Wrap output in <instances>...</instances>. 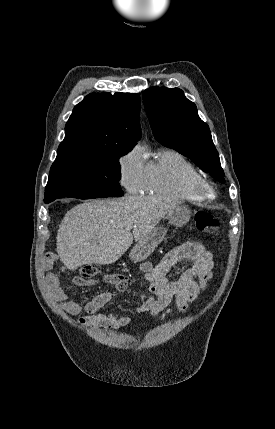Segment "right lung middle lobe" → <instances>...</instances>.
Here are the masks:
<instances>
[{
    "label": "right lung middle lobe",
    "instance_id": "1",
    "mask_svg": "<svg viewBox=\"0 0 275 429\" xmlns=\"http://www.w3.org/2000/svg\"><path fill=\"white\" fill-rule=\"evenodd\" d=\"M127 152L57 155L45 188V203L74 197L92 199L123 195L119 158Z\"/></svg>",
    "mask_w": 275,
    "mask_h": 429
}]
</instances>
